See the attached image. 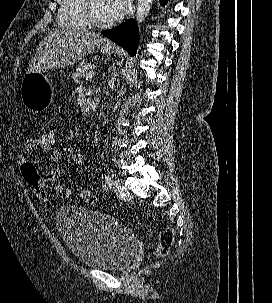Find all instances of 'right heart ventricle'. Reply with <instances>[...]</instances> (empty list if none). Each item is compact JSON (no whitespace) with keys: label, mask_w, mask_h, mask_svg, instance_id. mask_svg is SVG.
Here are the masks:
<instances>
[{"label":"right heart ventricle","mask_w":272,"mask_h":303,"mask_svg":"<svg viewBox=\"0 0 272 303\" xmlns=\"http://www.w3.org/2000/svg\"><path fill=\"white\" fill-rule=\"evenodd\" d=\"M83 0H60L58 24L67 28H85L88 24L82 14Z\"/></svg>","instance_id":"obj_1"}]
</instances>
